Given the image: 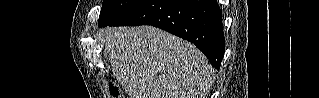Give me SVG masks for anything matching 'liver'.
<instances>
[{
  "label": "liver",
  "mask_w": 319,
  "mask_h": 98,
  "mask_svg": "<svg viewBox=\"0 0 319 98\" xmlns=\"http://www.w3.org/2000/svg\"><path fill=\"white\" fill-rule=\"evenodd\" d=\"M106 55L129 98H206L214 71L193 44L151 27L101 31Z\"/></svg>",
  "instance_id": "6515ba94"
}]
</instances>
